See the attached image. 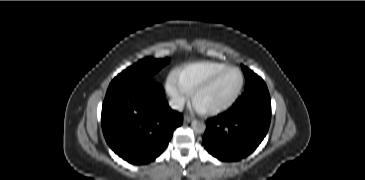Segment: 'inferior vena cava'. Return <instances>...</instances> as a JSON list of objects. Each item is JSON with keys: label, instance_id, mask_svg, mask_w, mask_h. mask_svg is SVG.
<instances>
[{"label": "inferior vena cava", "instance_id": "obj_1", "mask_svg": "<svg viewBox=\"0 0 365 180\" xmlns=\"http://www.w3.org/2000/svg\"><path fill=\"white\" fill-rule=\"evenodd\" d=\"M169 106L174 110L182 111L184 108V99L182 97H174L169 100Z\"/></svg>", "mask_w": 365, "mask_h": 180}]
</instances>
